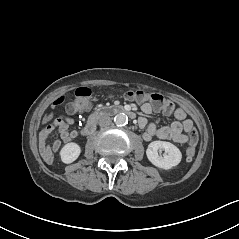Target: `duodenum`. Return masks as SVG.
I'll use <instances>...</instances> for the list:
<instances>
[{
  "label": "duodenum",
  "instance_id": "duodenum-1",
  "mask_svg": "<svg viewBox=\"0 0 239 239\" xmlns=\"http://www.w3.org/2000/svg\"><path fill=\"white\" fill-rule=\"evenodd\" d=\"M126 114L130 118H135V113L131 110H128L124 106L121 105H113V106H104L96 109L88 118L87 123L85 124L82 134L83 135H90L94 132L96 128L97 121L104 117L109 115H115V114Z\"/></svg>",
  "mask_w": 239,
  "mask_h": 239
}]
</instances>
